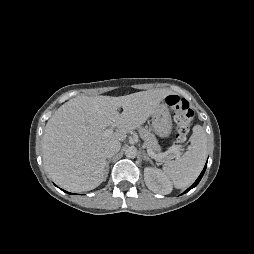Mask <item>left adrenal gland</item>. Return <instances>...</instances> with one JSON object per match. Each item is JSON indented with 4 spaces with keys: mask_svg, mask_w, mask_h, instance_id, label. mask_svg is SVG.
<instances>
[{
    "mask_svg": "<svg viewBox=\"0 0 254 254\" xmlns=\"http://www.w3.org/2000/svg\"><path fill=\"white\" fill-rule=\"evenodd\" d=\"M143 159L146 161H149L150 163H153L152 160L149 158V156L146 154L145 151H143Z\"/></svg>",
    "mask_w": 254,
    "mask_h": 254,
    "instance_id": "a2214340",
    "label": "left adrenal gland"
}]
</instances>
